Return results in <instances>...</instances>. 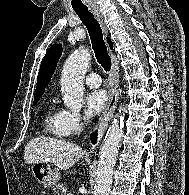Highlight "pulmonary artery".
<instances>
[{"label": "pulmonary artery", "mask_w": 189, "mask_h": 195, "mask_svg": "<svg viewBox=\"0 0 189 195\" xmlns=\"http://www.w3.org/2000/svg\"><path fill=\"white\" fill-rule=\"evenodd\" d=\"M84 80L86 85L91 88H98L101 85V78L98 73H88Z\"/></svg>", "instance_id": "pulmonary-artery-1"}]
</instances>
